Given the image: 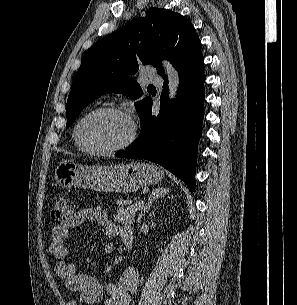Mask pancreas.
Listing matches in <instances>:
<instances>
[{"mask_svg": "<svg viewBox=\"0 0 297 305\" xmlns=\"http://www.w3.org/2000/svg\"><path fill=\"white\" fill-rule=\"evenodd\" d=\"M137 202H135V204L124 207L123 202L118 201L117 203L121 205V207L118 209L117 214L114 215V220L120 224L132 223L135 218L136 212L139 210V208L136 206Z\"/></svg>", "mask_w": 297, "mask_h": 305, "instance_id": "obj_1", "label": "pancreas"}]
</instances>
